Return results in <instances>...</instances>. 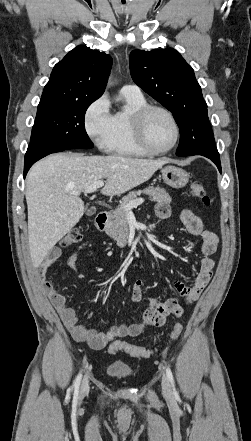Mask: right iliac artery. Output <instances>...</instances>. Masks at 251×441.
Instances as JSON below:
<instances>
[{
	"label": "right iliac artery",
	"instance_id": "1",
	"mask_svg": "<svg viewBox=\"0 0 251 441\" xmlns=\"http://www.w3.org/2000/svg\"><path fill=\"white\" fill-rule=\"evenodd\" d=\"M81 378H82V373L80 372L74 382V388H75V392H78L79 390V386H80V382H81Z\"/></svg>",
	"mask_w": 251,
	"mask_h": 441
}]
</instances>
